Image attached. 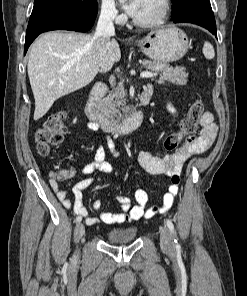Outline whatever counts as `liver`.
Wrapping results in <instances>:
<instances>
[{"mask_svg":"<svg viewBox=\"0 0 247 296\" xmlns=\"http://www.w3.org/2000/svg\"><path fill=\"white\" fill-rule=\"evenodd\" d=\"M121 58L115 39L90 34L48 32L31 46L28 76L35 99L34 120L42 118L62 96L87 86L99 71ZM88 65V67H85Z\"/></svg>","mask_w":247,"mask_h":296,"instance_id":"liver-1","label":"liver"}]
</instances>
